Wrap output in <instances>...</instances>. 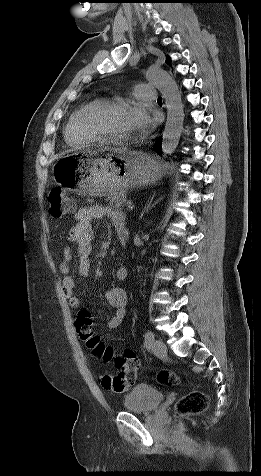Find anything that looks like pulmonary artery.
I'll use <instances>...</instances> for the list:
<instances>
[{
	"label": "pulmonary artery",
	"instance_id": "1",
	"mask_svg": "<svg viewBox=\"0 0 261 476\" xmlns=\"http://www.w3.org/2000/svg\"><path fill=\"white\" fill-rule=\"evenodd\" d=\"M135 95L137 98L145 101H154L157 99L154 86L146 83H140L135 86Z\"/></svg>",
	"mask_w": 261,
	"mask_h": 476
}]
</instances>
